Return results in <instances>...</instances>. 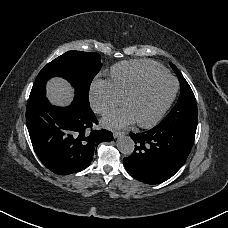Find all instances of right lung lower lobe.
Here are the masks:
<instances>
[{
	"label": "right lung lower lobe",
	"instance_id": "right-lung-lower-lobe-1",
	"mask_svg": "<svg viewBox=\"0 0 228 228\" xmlns=\"http://www.w3.org/2000/svg\"><path fill=\"white\" fill-rule=\"evenodd\" d=\"M26 123L38 158L59 175L85 169L95 147L113 140L112 132L95 129L98 121L90 107L74 102L68 107L52 106L45 95L28 100Z\"/></svg>",
	"mask_w": 228,
	"mask_h": 228
}]
</instances>
